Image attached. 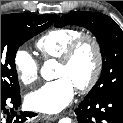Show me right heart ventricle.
Masks as SVG:
<instances>
[{
  "label": "right heart ventricle",
  "mask_w": 123,
  "mask_h": 123,
  "mask_svg": "<svg viewBox=\"0 0 123 123\" xmlns=\"http://www.w3.org/2000/svg\"><path fill=\"white\" fill-rule=\"evenodd\" d=\"M82 34L74 28L52 29L37 40L36 47L44 59H59L68 45Z\"/></svg>",
  "instance_id": "1"
}]
</instances>
